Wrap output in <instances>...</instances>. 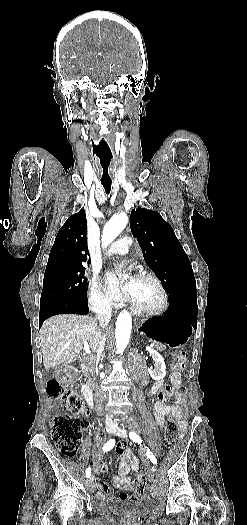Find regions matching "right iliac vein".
Instances as JSON below:
<instances>
[{"label":"right iliac vein","mask_w":247,"mask_h":525,"mask_svg":"<svg viewBox=\"0 0 247 525\" xmlns=\"http://www.w3.org/2000/svg\"><path fill=\"white\" fill-rule=\"evenodd\" d=\"M106 432H107L108 434L113 433V432H114V427H113V426H110V425H107V426H106ZM93 479H94V475L91 476L90 480L93 481Z\"/></svg>","instance_id":"63e3f726"}]
</instances>
